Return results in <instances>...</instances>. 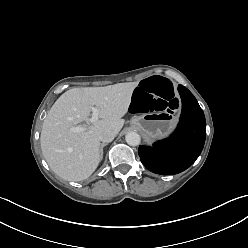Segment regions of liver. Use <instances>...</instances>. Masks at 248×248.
Wrapping results in <instances>:
<instances>
[{"mask_svg":"<svg viewBox=\"0 0 248 248\" xmlns=\"http://www.w3.org/2000/svg\"><path fill=\"white\" fill-rule=\"evenodd\" d=\"M138 82L117 83L105 87L72 88L62 94L43 122L41 150L49 167L67 181H82L92 175L100 163V130L118 134L124 125ZM99 110V120L90 124L91 108ZM86 122L81 132L70 128Z\"/></svg>","mask_w":248,"mask_h":248,"instance_id":"liver-1","label":"liver"}]
</instances>
